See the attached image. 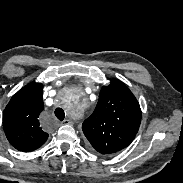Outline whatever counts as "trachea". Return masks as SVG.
I'll use <instances>...</instances> for the list:
<instances>
[{"instance_id":"trachea-1","label":"trachea","mask_w":183,"mask_h":183,"mask_svg":"<svg viewBox=\"0 0 183 183\" xmlns=\"http://www.w3.org/2000/svg\"><path fill=\"white\" fill-rule=\"evenodd\" d=\"M55 115L60 121H63L65 118V112L62 108H56Z\"/></svg>"}]
</instances>
